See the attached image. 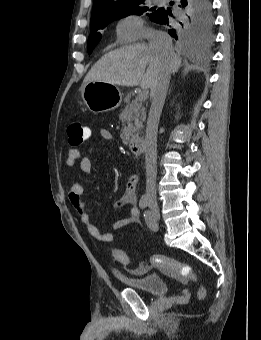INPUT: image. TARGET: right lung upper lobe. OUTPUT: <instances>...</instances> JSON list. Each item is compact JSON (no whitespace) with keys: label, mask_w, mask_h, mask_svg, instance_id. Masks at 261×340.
Returning a JSON list of instances; mask_svg holds the SVG:
<instances>
[{"label":"right lung upper lobe","mask_w":261,"mask_h":340,"mask_svg":"<svg viewBox=\"0 0 261 340\" xmlns=\"http://www.w3.org/2000/svg\"><path fill=\"white\" fill-rule=\"evenodd\" d=\"M144 0H94L91 22L118 14L123 8Z\"/></svg>","instance_id":"1"}]
</instances>
